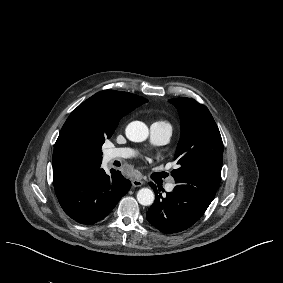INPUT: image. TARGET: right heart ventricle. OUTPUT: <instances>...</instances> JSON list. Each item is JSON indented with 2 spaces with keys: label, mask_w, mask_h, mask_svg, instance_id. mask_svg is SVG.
<instances>
[{
  "label": "right heart ventricle",
  "mask_w": 283,
  "mask_h": 283,
  "mask_svg": "<svg viewBox=\"0 0 283 283\" xmlns=\"http://www.w3.org/2000/svg\"><path fill=\"white\" fill-rule=\"evenodd\" d=\"M154 124L162 126V127H166L168 129L172 130L171 125L169 123L165 122V121H158V122H155Z\"/></svg>",
  "instance_id": "right-heart-ventricle-1"
}]
</instances>
